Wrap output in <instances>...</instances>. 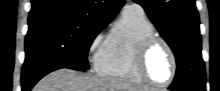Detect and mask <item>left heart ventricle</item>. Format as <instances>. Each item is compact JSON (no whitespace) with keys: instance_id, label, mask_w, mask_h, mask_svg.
<instances>
[{"instance_id":"obj_1","label":"left heart ventricle","mask_w":220,"mask_h":91,"mask_svg":"<svg viewBox=\"0 0 220 91\" xmlns=\"http://www.w3.org/2000/svg\"><path fill=\"white\" fill-rule=\"evenodd\" d=\"M146 69L149 76L157 82H165L171 73V58L163 45H156L150 51Z\"/></svg>"}]
</instances>
